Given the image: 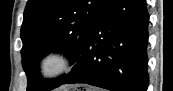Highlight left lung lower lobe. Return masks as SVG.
Instances as JSON below:
<instances>
[{
    "label": "left lung lower lobe",
    "mask_w": 173,
    "mask_h": 91,
    "mask_svg": "<svg viewBox=\"0 0 173 91\" xmlns=\"http://www.w3.org/2000/svg\"><path fill=\"white\" fill-rule=\"evenodd\" d=\"M148 24L145 0H109L72 72L57 87L86 83L111 91H147Z\"/></svg>",
    "instance_id": "1"
}]
</instances>
